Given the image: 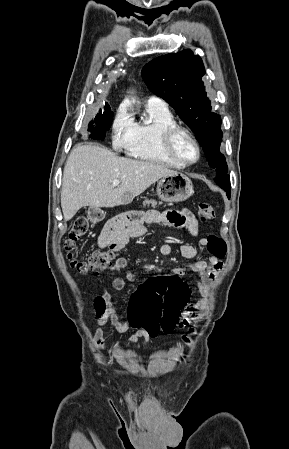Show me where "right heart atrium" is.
<instances>
[{
  "label": "right heart atrium",
  "instance_id": "obj_1",
  "mask_svg": "<svg viewBox=\"0 0 289 449\" xmlns=\"http://www.w3.org/2000/svg\"><path fill=\"white\" fill-rule=\"evenodd\" d=\"M136 137V123L125 105H120L112 122L113 144L120 149H129Z\"/></svg>",
  "mask_w": 289,
  "mask_h": 449
}]
</instances>
